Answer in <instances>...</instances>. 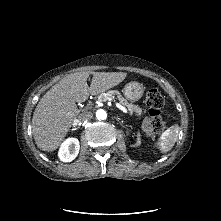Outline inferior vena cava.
Segmentation results:
<instances>
[{
	"label": "inferior vena cava",
	"mask_w": 221,
	"mask_h": 221,
	"mask_svg": "<svg viewBox=\"0 0 221 221\" xmlns=\"http://www.w3.org/2000/svg\"><path fill=\"white\" fill-rule=\"evenodd\" d=\"M92 117H93V113L90 111H86V112L81 113L78 116V120L79 121H87V120L92 119Z\"/></svg>",
	"instance_id": "602c4592"
}]
</instances>
